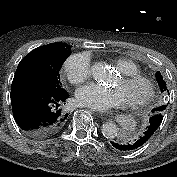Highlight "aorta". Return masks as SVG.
<instances>
[{"instance_id":"1","label":"aorta","mask_w":177,"mask_h":177,"mask_svg":"<svg viewBox=\"0 0 177 177\" xmlns=\"http://www.w3.org/2000/svg\"><path fill=\"white\" fill-rule=\"evenodd\" d=\"M92 76L100 82H108L111 78L110 70L103 63H95L92 66ZM118 128L114 122H106L102 126V133L106 138H115Z\"/></svg>"}]
</instances>
